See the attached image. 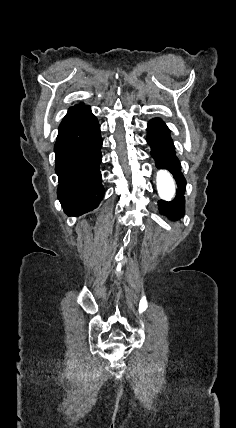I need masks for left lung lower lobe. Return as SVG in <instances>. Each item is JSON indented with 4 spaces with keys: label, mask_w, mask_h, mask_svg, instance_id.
Instances as JSON below:
<instances>
[{
    "label": "left lung lower lobe",
    "mask_w": 236,
    "mask_h": 428,
    "mask_svg": "<svg viewBox=\"0 0 236 428\" xmlns=\"http://www.w3.org/2000/svg\"><path fill=\"white\" fill-rule=\"evenodd\" d=\"M147 142L151 147V155L159 169H167L172 173L178 191L176 198L171 202L160 200L158 205L161 213L170 219H179L184 215L186 180L181 172L180 162L175 155V148L170 137V130L160 118L149 121L147 128Z\"/></svg>",
    "instance_id": "0a47b994"
}]
</instances>
